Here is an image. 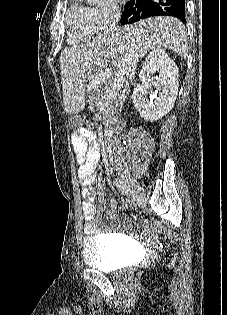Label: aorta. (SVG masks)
Wrapping results in <instances>:
<instances>
[{
  "label": "aorta",
  "mask_w": 227,
  "mask_h": 315,
  "mask_svg": "<svg viewBox=\"0 0 227 315\" xmlns=\"http://www.w3.org/2000/svg\"><path fill=\"white\" fill-rule=\"evenodd\" d=\"M105 0H87L90 4H98L101 5Z\"/></svg>",
  "instance_id": "762f6f07"
}]
</instances>
